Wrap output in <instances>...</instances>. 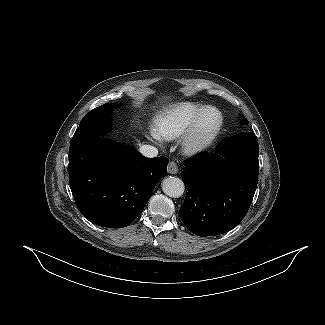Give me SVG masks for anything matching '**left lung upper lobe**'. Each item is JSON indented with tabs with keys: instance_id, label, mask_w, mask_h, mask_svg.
<instances>
[{
	"instance_id": "obj_1",
	"label": "left lung upper lobe",
	"mask_w": 325,
	"mask_h": 325,
	"mask_svg": "<svg viewBox=\"0 0 325 325\" xmlns=\"http://www.w3.org/2000/svg\"><path fill=\"white\" fill-rule=\"evenodd\" d=\"M241 120L244 124H248V121L246 120V118L243 117V115H241Z\"/></svg>"
}]
</instances>
